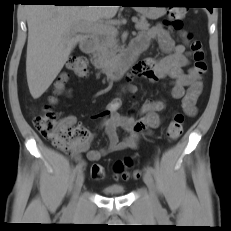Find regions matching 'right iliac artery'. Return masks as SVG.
Returning <instances> with one entry per match:
<instances>
[{
    "label": "right iliac artery",
    "instance_id": "obj_1",
    "mask_svg": "<svg viewBox=\"0 0 231 231\" xmlns=\"http://www.w3.org/2000/svg\"><path fill=\"white\" fill-rule=\"evenodd\" d=\"M81 170H82V167H81L80 165H77V166L75 167V169H74V174L80 173Z\"/></svg>",
    "mask_w": 231,
    "mask_h": 231
}]
</instances>
